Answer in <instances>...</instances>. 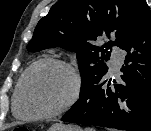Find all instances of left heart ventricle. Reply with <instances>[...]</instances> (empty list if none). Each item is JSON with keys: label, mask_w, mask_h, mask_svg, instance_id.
<instances>
[{"label": "left heart ventricle", "mask_w": 151, "mask_h": 131, "mask_svg": "<svg viewBox=\"0 0 151 131\" xmlns=\"http://www.w3.org/2000/svg\"><path fill=\"white\" fill-rule=\"evenodd\" d=\"M71 88L68 73L61 67L47 65L29 76L21 98V108L28 114L48 113L58 108Z\"/></svg>", "instance_id": "left-heart-ventricle-1"}]
</instances>
